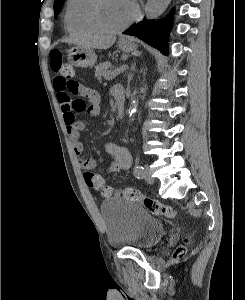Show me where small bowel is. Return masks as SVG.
<instances>
[{
  "instance_id": "c3829d8e",
  "label": "small bowel",
  "mask_w": 245,
  "mask_h": 300,
  "mask_svg": "<svg viewBox=\"0 0 245 300\" xmlns=\"http://www.w3.org/2000/svg\"><path fill=\"white\" fill-rule=\"evenodd\" d=\"M53 87L56 92L58 103L60 104L63 113L64 123L68 137L71 141L73 150L77 156L78 162L83 170L84 178L87 182L90 174H95L93 169L96 167V160L90 156L81 142V132L86 129L87 124L83 120L77 119V113L85 111L90 116H97L100 112L101 96L95 89L86 87L75 82L74 89H69L68 83L59 76L54 78ZM120 91L115 89L114 93ZM71 95L87 99L88 103L81 111L75 110L73 107V100ZM82 100V99H81ZM84 101V100H83ZM85 102V101H84ZM105 151L113 158L112 163L108 169V174H116L127 170L132 164V157L129 151L122 146L113 142H106L104 145ZM98 175V174H97ZM102 177V176H101ZM103 178V177H102ZM104 179V178H103Z\"/></svg>"
}]
</instances>
